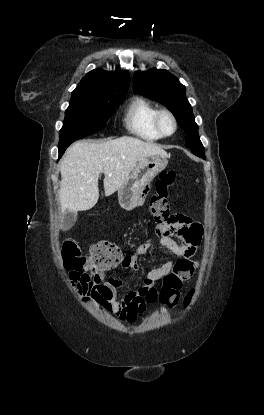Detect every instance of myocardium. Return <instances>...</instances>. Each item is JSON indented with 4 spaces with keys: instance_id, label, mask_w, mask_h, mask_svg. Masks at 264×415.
I'll use <instances>...</instances> for the list:
<instances>
[{
    "instance_id": "obj_1",
    "label": "myocardium",
    "mask_w": 264,
    "mask_h": 415,
    "mask_svg": "<svg viewBox=\"0 0 264 415\" xmlns=\"http://www.w3.org/2000/svg\"><path fill=\"white\" fill-rule=\"evenodd\" d=\"M163 115H167L172 120L173 130L170 133H165L161 128V118H162ZM153 124H154V127H155L156 131L159 133V135L161 137H169V136L173 135L177 131V128H178L177 119H176L174 113L172 111H170L169 109H159V110H157V112L155 113L154 118H153Z\"/></svg>"
}]
</instances>
